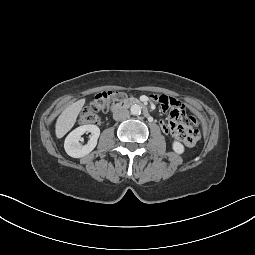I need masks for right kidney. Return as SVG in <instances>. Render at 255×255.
<instances>
[{
  "mask_svg": "<svg viewBox=\"0 0 255 255\" xmlns=\"http://www.w3.org/2000/svg\"><path fill=\"white\" fill-rule=\"evenodd\" d=\"M90 132V140L86 145L80 144L81 136ZM100 129L96 125H83L68 134L64 142L66 153L73 158H81L89 154L97 145Z\"/></svg>",
  "mask_w": 255,
  "mask_h": 255,
  "instance_id": "right-kidney-1",
  "label": "right kidney"
}]
</instances>
